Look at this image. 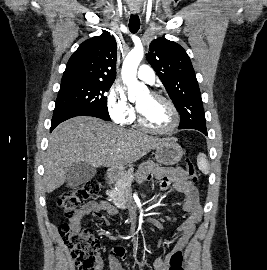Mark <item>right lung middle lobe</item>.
Wrapping results in <instances>:
<instances>
[{
	"label": "right lung middle lobe",
	"instance_id": "1",
	"mask_svg": "<svg viewBox=\"0 0 267 270\" xmlns=\"http://www.w3.org/2000/svg\"><path fill=\"white\" fill-rule=\"evenodd\" d=\"M112 84L105 81L62 80L55 109L108 113L105 92L109 91Z\"/></svg>",
	"mask_w": 267,
	"mask_h": 270
}]
</instances>
